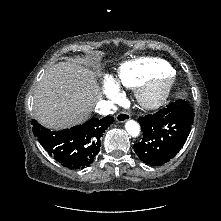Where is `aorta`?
I'll use <instances>...</instances> for the list:
<instances>
[{"label": "aorta", "instance_id": "obj_1", "mask_svg": "<svg viewBox=\"0 0 221 221\" xmlns=\"http://www.w3.org/2000/svg\"><path fill=\"white\" fill-rule=\"evenodd\" d=\"M127 133L132 137H137L140 133V126L134 120H128L125 124Z\"/></svg>", "mask_w": 221, "mask_h": 221}]
</instances>
